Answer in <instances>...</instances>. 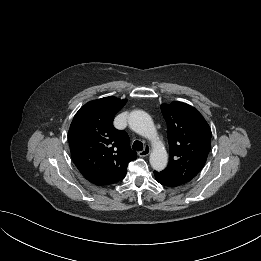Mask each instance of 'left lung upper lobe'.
I'll return each instance as SVG.
<instances>
[{
	"label": "left lung upper lobe",
	"instance_id": "obj_1",
	"mask_svg": "<svg viewBox=\"0 0 261 261\" xmlns=\"http://www.w3.org/2000/svg\"><path fill=\"white\" fill-rule=\"evenodd\" d=\"M167 123L170 159L160 174L185 184L203 168L211 148V129L192 106L175 101L162 104Z\"/></svg>",
	"mask_w": 261,
	"mask_h": 261
}]
</instances>
